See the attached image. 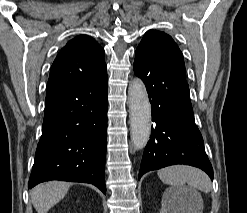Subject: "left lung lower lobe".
<instances>
[{
	"label": "left lung lower lobe",
	"mask_w": 247,
	"mask_h": 213,
	"mask_svg": "<svg viewBox=\"0 0 247 213\" xmlns=\"http://www.w3.org/2000/svg\"><path fill=\"white\" fill-rule=\"evenodd\" d=\"M134 72L146 85L155 122L138 179L151 170L186 164L201 168L213 180V169L194 121L185 65L135 61Z\"/></svg>",
	"instance_id": "left-lung-lower-lobe-1"
}]
</instances>
